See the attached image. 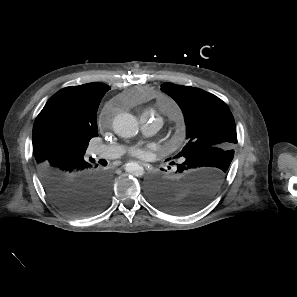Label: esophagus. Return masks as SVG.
Wrapping results in <instances>:
<instances>
[{"label":"esophagus","instance_id":"34e87169","mask_svg":"<svg viewBox=\"0 0 297 297\" xmlns=\"http://www.w3.org/2000/svg\"><path fill=\"white\" fill-rule=\"evenodd\" d=\"M139 163L144 166L147 170H151V166L148 164V163H145V162H142V161H139Z\"/></svg>","mask_w":297,"mask_h":297}]
</instances>
